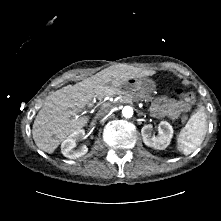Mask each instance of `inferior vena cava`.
Wrapping results in <instances>:
<instances>
[{
	"label": "inferior vena cava",
	"instance_id": "inferior-vena-cava-1",
	"mask_svg": "<svg viewBox=\"0 0 221 221\" xmlns=\"http://www.w3.org/2000/svg\"><path fill=\"white\" fill-rule=\"evenodd\" d=\"M108 112H109V108L101 109V110H99V111L97 112L96 118H102V117L105 116Z\"/></svg>",
	"mask_w": 221,
	"mask_h": 221
}]
</instances>
